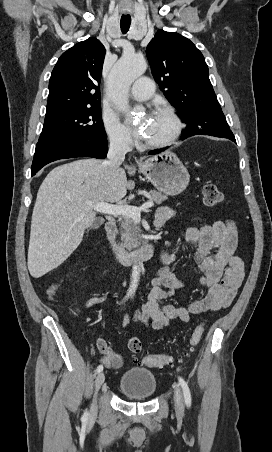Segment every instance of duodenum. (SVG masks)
Masks as SVG:
<instances>
[{
	"instance_id": "duodenum-1",
	"label": "duodenum",
	"mask_w": 272,
	"mask_h": 452,
	"mask_svg": "<svg viewBox=\"0 0 272 452\" xmlns=\"http://www.w3.org/2000/svg\"><path fill=\"white\" fill-rule=\"evenodd\" d=\"M155 226H160V224L155 222ZM105 230L110 252L115 258L125 263H133L138 260H147L153 257L155 248L152 243H144L133 250H128L119 245L117 242V225L114 220H108L106 222Z\"/></svg>"
}]
</instances>
